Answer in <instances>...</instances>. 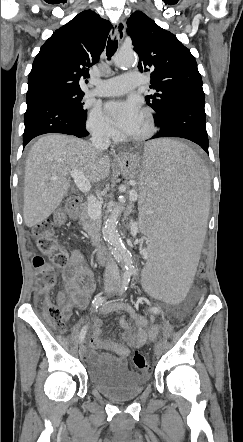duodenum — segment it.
<instances>
[{
  "instance_id": "duodenum-1",
  "label": "duodenum",
  "mask_w": 243,
  "mask_h": 442,
  "mask_svg": "<svg viewBox=\"0 0 243 442\" xmlns=\"http://www.w3.org/2000/svg\"><path fill=\"white\" fill-rule=\"evenodd\" d=\"M81 201L78 198L69 199L67 211L69 215L75 216L80 209ZM94 257L99 264L109 260V253L105 247H98L94 252Z\"/></svg>"
}]
</instances>
